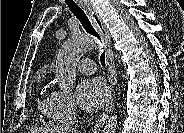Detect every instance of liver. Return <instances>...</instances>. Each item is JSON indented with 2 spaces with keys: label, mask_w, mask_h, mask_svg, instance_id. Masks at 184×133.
<instances>
[{
  "label": "liver",
  "mask_w": 184,
  "mask_h": 133,
  "mask_svg": "<svg viewBox=\"0 0 184 133\" xmlns=\"http://www.w3.org/2000/svg\"><path fill=\"white\" fill-rule=\"evenodd\" d=\"M32 133H71L66 128H39L33 129Z\"/></svg>",
  "instance_id": "obj_1"
}]
</instances>
